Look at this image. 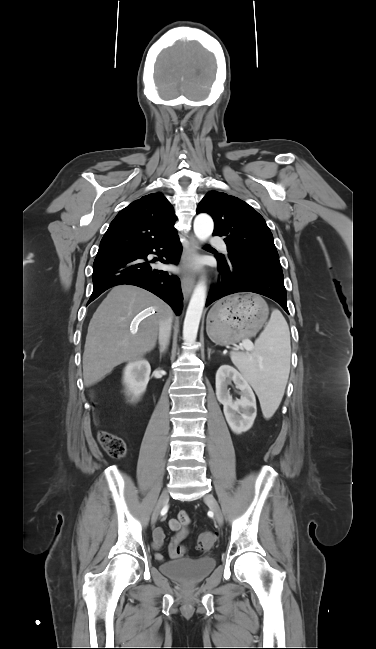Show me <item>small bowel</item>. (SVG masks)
Listing matches in <instances>:
<instances>
[{
  "label": "small bowel",
  "instance_id": "c3829d8e",
  "mask_svg": "<svg viewBox=\"0 0 376 649\" xmlns=\"http://www.w3.org/2000/svg\"><path fill=\"white\" fill-rule=\"evenodd\" d=\"M191 519L185 511H179L175 518L169 520V528L175 533L169 545V554L172 558H179L185 554V549L180 546V542L186 537L189 531ZM164 532L162 528H156L153 532V545L159 550L164 542ZM156 558L162 560L163 556L156 553Z\"/></svg>",
  "mask_w": 376,
  "mask_h": 649
}]
</instances>
